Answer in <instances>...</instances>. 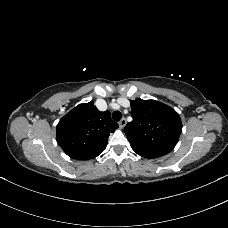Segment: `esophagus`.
<instances>
[{"instance_id":"esophagus-1","label":"esophagus","mask_w":228,"mask_h":228,"mask_svg":"<svg viewBox=\"0 0 228 228\" xmlns=\"http://www.w3.org/2000/svg\"><path fill=\"white\" fill-rule=\"evenodd\" d=\"M126 125V119L125 118H122L120 121H119V127L122 129L124 128Z\"/></svg>"}]
</instances>
